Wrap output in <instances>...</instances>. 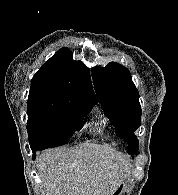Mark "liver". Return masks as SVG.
I'll return each mask as SVG.
<instances>
[{
  "label": "liver",
  "mask_w": 178,
  "mask_h": 195,
  "mask_svg": "<svg viewBox=\"0 0 178 195\" xmlns=\"http://www.w3.org/2000/svg\"><path fill=\"white\" fill-rule=\"evenodd\" d=\"M124 156L97 145L42 153L37 169L43 195H112L127 170Z\"/></svg>",
  "instance_id": "1"
}]
</instances>
